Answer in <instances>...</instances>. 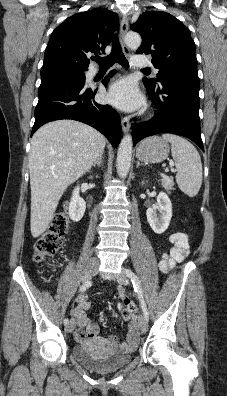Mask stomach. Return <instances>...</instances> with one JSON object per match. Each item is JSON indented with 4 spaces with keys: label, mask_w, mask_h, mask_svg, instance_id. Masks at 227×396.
<instances>
[{
    "label": "stomach",
    "mask_w": 227,
    "mask_h": 396,
    "mask_svg": "<svg viewBox=\"0 0 227 396\" xmlns=\"http://www.w3.org/2000/svg\"><path fill=\"white\" fill-rule=\"evenodd\" d=\"M168 154V143L157 136L145 139L136 150V157L145 163L162 162Z\"/></svg>",
    "instance_id": "obj_1"
}]
</instances>
